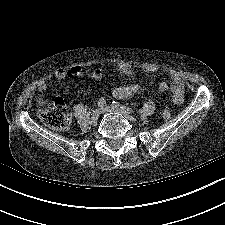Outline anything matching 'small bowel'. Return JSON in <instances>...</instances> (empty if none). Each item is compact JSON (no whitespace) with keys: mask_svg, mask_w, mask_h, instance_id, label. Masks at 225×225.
I'll return each mask as SVG.
<instances>
[{"mask_svg":"<svg viewBox=\"0 0 225 225\" xmlns=\"http://www.w3.org/2000/svg\"><path fill=\"white\" fill-rule=\"evenodd\" d=\"M118 71L126 76H131L133 71L132 68L129 65H120L118 67ZM81 73V68L78 66H73L68 69H58L54 77L57 80H63L67 76L76 77ZM91 77L95 80H100L102 78V71L99 68L94 69L91 72ZM48 85L45 81H41L37 86V92H38V104L42 106L44 104V98L43 94L47 91ZM159 89L161 91H167L169 89V86L162 82L159 85ZM170 90L173 93V101L175 104L180 105L183 102L184 96V86L179 77L173 78V84L170 86ZM140 91V86L137 84H128L123 86H118L113 90V96L118 99H127L131 97L133 94ZM60 99V98H58Z\"/></svg>","mask_w":225,"mask_h":225,"instance_id":"1","label":"small bowel"}]
</instances>
